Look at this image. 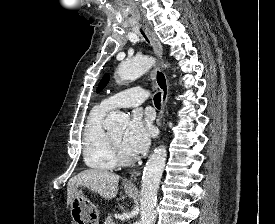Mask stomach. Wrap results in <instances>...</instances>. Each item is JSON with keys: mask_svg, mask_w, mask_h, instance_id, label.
I'll use <instances>...</instances> for the list:
<instances>
[{"mask_svg": "<svg viewBox=\"0 0 275 224\" xmlns=\"http://www.w3.org/2000/svg\"><path fill=\"white\" fill-rule=\"evenodd\" d=\"M125 193L132 197L135 194V190L124 187ZM70 214L74 224H99V211L97 207L90 202L82 191H78L72 197L70 203Z\"/></svg>", "mask_w": 275, "mask_h": 224, "instance_id": "stomach-1", "label": "stomach"}]
</instances>
